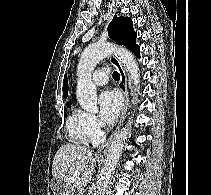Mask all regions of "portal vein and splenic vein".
<instances>
[{"mask_svg":"<svg viewBox=\"0 0 211 195\" xmlns=\"http://www.w3.org/2000/svg\"><path fill=\"white\" fill-rule=\"evenodd\" d=\"M80 173L79 172H75L73 178L71 179L70 182H74V180L79 177Z\"/></svg>","mask_w":211,"mask_h":195,"instance_id":"1","label":"portal vein and splenic vein"}]
</instances>
